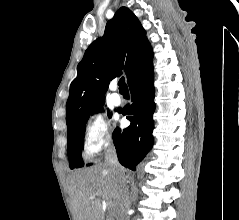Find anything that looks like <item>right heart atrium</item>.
I'll return each instance as SVG.
<instances>
[{
    "mask_svg": "<svg viewBox=\"0 0 239 220\" xmlns=\"http://www.w3.org/2000/svg\"><path fill=\"white\" fill-rule=\"evenodd\" d=\"M112 137L105 116L96 111L91 113L84 125L83 148L88 156H94L110 145Z\"/></svg>",
    "mask_w": 239,
    "mask_h": 220,
    "instance_id": "right-heart-atrium-1",
    "label": "right heart atrium"
}]
</instances>
